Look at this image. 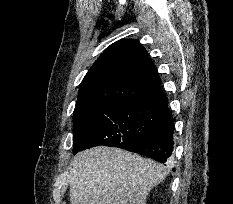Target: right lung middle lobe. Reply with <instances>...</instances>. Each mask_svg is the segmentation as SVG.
<instances>
[{
    "label": "right lung middle lobe",
    "instance_id": "1",
    "mask_svg": "<svg viewBox=\"0 0 233 204\" xmlns=\"http://www.w3.org/2000/svg\"><path fill=\"white\" fill-rule=\"evenodd\" d=\"M74 149L84 145L116 147L165 126L152 99H133L107 105L74 120Z\"/></svg>",
    "mask_w": 233,
    "mask_h": 204
}]
</instances>
